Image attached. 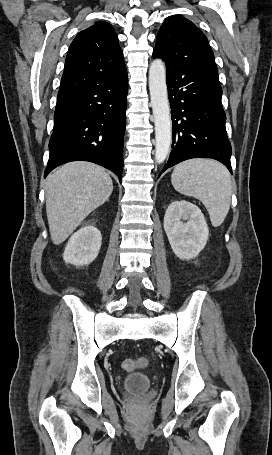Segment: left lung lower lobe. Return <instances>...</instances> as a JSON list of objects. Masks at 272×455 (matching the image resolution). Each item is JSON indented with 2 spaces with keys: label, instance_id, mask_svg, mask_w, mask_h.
Listing matches in <instances>:
<instances>
[{
  "label": "left lung lower lobe",
  "instance_id": "1",
  "mask_svg": "<svg viewBox=\"0 0 272 455\" xmlns=\"http://www.w3.org/2000/svg\"><path fill=\"white\" fill-rule=\"evenodd\" d=\"M167 87L173 143L162 172L187 159L212 158L232 173L218 73L192 68L167 71Z\"/></svg>",
  "mask_w": 272,
  "mask_h": 455
}]
</instances>
